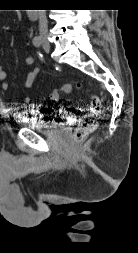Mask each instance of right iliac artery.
I'll list each match as a JSON object with an SVG mask.
<instances>
[{
    "instance_id": "right-iliac-artery-1",
    "label": "right iliac artery",
    "mask_w": 138,
    "mask_h": 253,
    "mask_svg": "<svg viewBox=\"0 0 138 253\" xmlns=\"http://www.w3.org/2000/svg\"><path fill=\"white\" fill-rule=\"evenodd\" d=\"M41 44H42L41 38H40V37H34V39H33V45H34L35 47H40Z\"/></svg>"
}]
</instances>
